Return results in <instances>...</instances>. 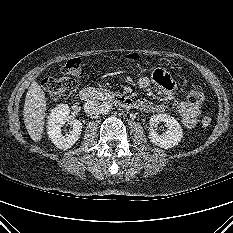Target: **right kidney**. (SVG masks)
<instances>
[{
  "label": "right kidney",
  "instance_id": "ca27d5eb",
  "mask_svg": "<svg viewBox=\"0 0 233 233\" xmlns=\"http://www.w3.org/2000/svg\"><path fill=\"white\" fill-rule=\"evenodd\" d=\"M70 109L66 104L58 105L51 110L48 116L47 131L51 141L61 150H67L72 147L79 139L82 131V123L75 119L70 121L72 131L63 136L61 127L69 120Z\"/></svg>",
  "mask_w": 233,
  "mask_h": 233
}]
</instances>
